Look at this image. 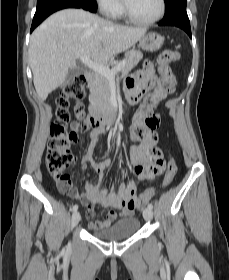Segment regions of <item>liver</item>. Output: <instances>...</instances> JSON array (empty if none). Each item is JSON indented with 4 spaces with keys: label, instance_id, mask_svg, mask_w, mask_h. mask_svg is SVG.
Returning <instances> with one entry per match:
<instances>
[{
    "label": "liver",
    "instance_id": "liver-1",
    "mask_svg": "<svg viewBox=\"0 0 229 280\" xmlns=\"http://www.w3.org/2000/svg\"><path fill=\"white\" fill-rule=\"evenodd\" d=\"M146 28L126 27L81 9H65L48 17L32 33L29 64L42 101L65 80L83 55L104 64L135 45Z\"/></svg>",
    "mask_w": 229,
    "mask_h": 280
}]
</instances>
